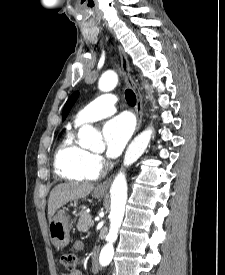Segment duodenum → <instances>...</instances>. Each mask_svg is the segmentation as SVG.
<instances>
[{
	"label": "duodenum",
	"mask_w": 225,
	"mask_h": 275,
	"mask_svg": "<svg viewBox=\"0 0 225 275\" xmlns=\"http://www.w3.org/2000/svg\"><path fill=\"white\" fill-rule=\"evenodd\" d=\"M91 269L93 272H96L98 270V265L96 261V254L93 253L92 260H91Z\"/></svg>",
	"instance_id": "duodenum-1"
}]
</instances>
